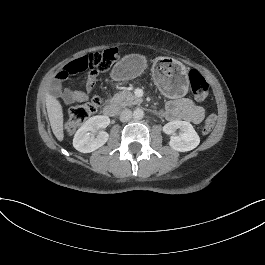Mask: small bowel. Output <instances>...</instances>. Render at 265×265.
<instances>
[{
  "label": "small bowel",
  "mask_w": 265,
  "mask_h": 265,
  "mask_svg": "<svg viewBox=\"0 0 265 265\" xmlns=\"http://www.w3.org/2000/svg\"><path fill=\"white\" fill-rule=\"evenodd\" d=\"M96 75V71L89 73L86 82V92L69 89L62 90L59 87H55L54 92L60 95L67 104L83 102L95 86ZM205 115V109L202 106L195 104L191 99L185 97L168 101L164 112V117L170 121L182 120L195 124L201 123Z\"/></svg>",
  "instance_id": "small-bowel-1"
}]
</instances>
